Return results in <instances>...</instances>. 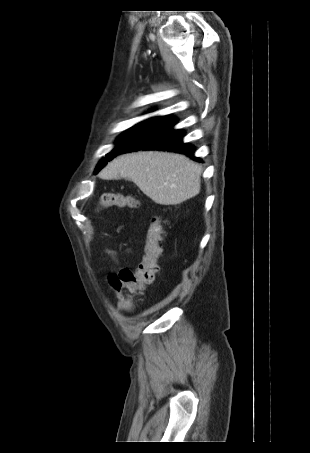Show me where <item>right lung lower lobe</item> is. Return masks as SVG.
Masks as SVG:
<instances>
[{
  "mask_svg": "<svg viewBox=\"0 0 310 453\" xmlns=\"http://www.w3.org/2000/svg\"><path fill=\"white\" fill-rule=\"evenodd\" d=\"M176 123L177 119L169 116L158 118L132 140L120 154L137 150L157 149L182 153L201 162L199 158L194 157L195 147L182 141L185 132L173 129Z\"/></svg>",
  "mask_w": 310,
  "mask_h": 453,
  "instance_id": "right-lung-lower-lobe-1",
  "label": "right lung lower lobe"
}]
</instances>
